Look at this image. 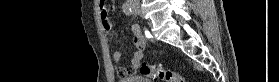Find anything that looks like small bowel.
<instances>
[{"label":"small bowel","instance_id":"small-bowel-1","mask_svg":"<svg viewBox=\"0 0 279 82\" xmlns=\"http://www.w3.org/2000/svg\"><path fill=\"white\" fill-rule=\"evenodd\" d=\"M134 2V1H133ZM99 7L102 10V18H103V28L105 31L108 32V34L112 35L114 32V26L112 22L107 20V13H106V1L99 0ZM131 31L133 33V43L136 47V51L134 52L130 66L128 67H120L117 69V74L121 77H125L128 75H132L135 73V71L140 67L142 59L144 57V50L146 48V40L142 34L141 28L139 25L135 24L131 27ZM122 58L121 52H114L113 54V60L114 62L118 63L120 62Z\"/></svg>","mask_w":279,"mask_h":82}]
</instances>
